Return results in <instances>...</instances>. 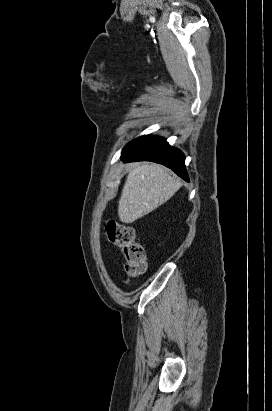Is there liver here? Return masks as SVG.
Wrapping results in <instances>:
<instances>
[{"label":"liver","mask_w":272,"mask_h":411,"mask_svg":"<svg viewBox=\"0 0 272 411\" xmlns=\"http://www.w3.org/2000/svg\"><path fill=\"white\" fill-rule=\"evenodd\" d=\"M180 180L161 165H132L118 202V216L132 223L167 202L181 187Z\"/></svg>","instance_id":"6515ba94"}]
</instances>
